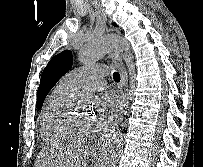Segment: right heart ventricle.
<instances>
[{
	"label": "right heart ventricle",
	"instance_id": "e07e8e85",
	"mask_svg": "<svg viewBox=\"0 0 203 167\" xmlns=\"http://www.w3.org/2000/svg\"><path fill=\"white\" fill-rule=\"evenodd\" d=\"M75 90L59 82L46 99L41 115V135L47 143L65 144L76 140L67 126Z\"/></svg>",
	"mask_w": 203,
	"mask_h": 167
}]
</instances>
